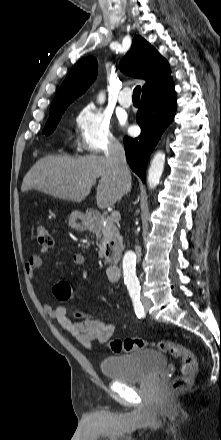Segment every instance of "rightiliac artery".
<instances>
[{
    "mask_svg": "<svg viewBox=\"0 0 221 440\" xmlns=\"http://www.w3.org/2000/svg\"><path fill=\"white\" fill-rule=\"evenodd\" d=\"M134 310L138 318L145 317V311L138 297L133 298Z\"/></svg>",
    "mask_w": 221,
    "mask_h": 440,
    "instance_id": "82829eb1",
    "label": "right iliac artery"
}]
</instances>
